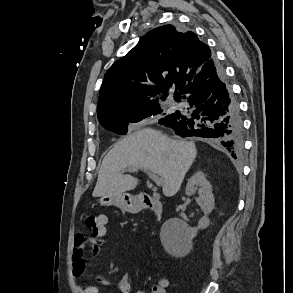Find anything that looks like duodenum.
I'll use <instances>...</instances> for the list:
<instances>
[{"instance_id": "1", "label": "duodenum", "mask_w": 293, "mask_h": 293, "mask_svg": "<svg viewBox=\"0 0 293 293\" xmlns=\"http://www.w3.org/2000/svg\"><path fill=\"white\" fill-rule=\"evenodd\" d=\"M136 207L140 211L146 209L152 210L158 220L163 216V204L149 194L140 195L137 199Z\"/></svg>"}]
</instances>
